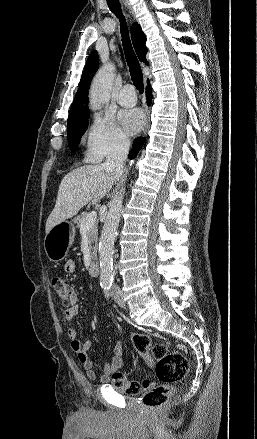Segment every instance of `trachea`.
Instances as JSON below:
<instances>
[{"mask_svg": "<svg viewBox=\"0 0 257 439\" xmlns=\"http://www.w3.org/2000/svg\"><path fill=\"white\" fill-rule=\"evenodd\" d=\"M110 10L119 18L121 26L122 44L126 57V61L129 66L131 79L135 87L140 93H143V74L139 64V61L133 51L127 23L125 17L122 14L120 2L118 0H107Z\"/></svg>", "mask_w": 257, "mask_h": 439, "instance_id": "obj_1", "label": "trachea"}]
</instances>
